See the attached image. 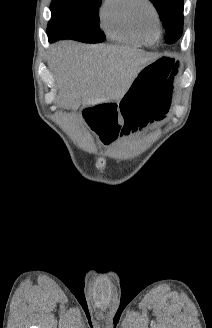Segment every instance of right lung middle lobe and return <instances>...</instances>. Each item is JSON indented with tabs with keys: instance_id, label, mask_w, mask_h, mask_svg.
Listing matches in <instances>:
<instances>
[{
	"instance_id": "dd1d6c3e",
	"label": "right lung middle lobe",
	"mask_w": 212,
	"mask_h": 328,
	"mask_svg": "<svg viewBox=\"0 0 212 328\" xmlns=\"http://www.w3.org/2000/svg\"><path fill=\"white\" fill-rule=\"evenodd\" d=\"M101 0H52V18L48 23L50 41L74 39L100 43L106 37L99 27L98 8Z\"/></svg>"
}]
</instances>
